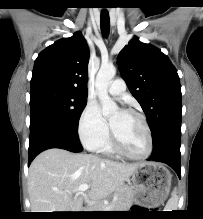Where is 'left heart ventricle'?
I'll use <instances>...</instances> for the list:
<instances>
[{
  "mask_svg": "<svg viewBox=\"0 0 203 219\" xmlns=\"http://www.w3.org/2000/svg\"><path fill=\"white\" fill-rule=\"evenodd\" d=\"M110 124L125 148L142 155L147 148V135L141 120L127 112L117 111L110 118Z\"/></svg>",
  "mask_w": 203,
  "mask_h": 219,
  "instance_id": "1",
  "label": "left heart ventricle"
}]
</instances>
